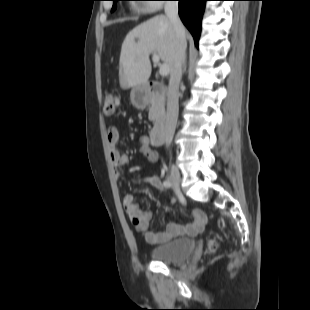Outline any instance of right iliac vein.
<instances>
[{
    "label": "right iliac vein",
    "instance_id": "right-iliac-vein-1",
    "mask_svg": "<svg viewBox=\"0 0 310 310\" xmlns=\"http://www.w3.org/2000/svg\"><path fill=\"white\" fill-rule=\"evenodd\" d=\"M170 180L173 182V184L176 187V191L179 189L180 181H181V176L178 168L173 164L170 167Z\"/></svg>",
    "mask_w": 310,
    "mask_h": 310
}]
</instances>
